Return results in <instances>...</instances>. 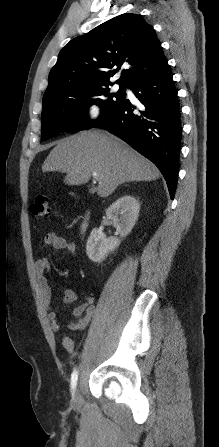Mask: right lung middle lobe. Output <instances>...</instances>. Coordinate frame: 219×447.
Wrapping results in <instances>:
<instances>
[{
    "label": "right lung middle lobe",
    "instance_id": "obj_1",
    "mask_svg": "<svg viewBox=\"0 0 219 447\" xmlns=\"http://www.w3.org/2000/svg\"><path fill=\"white\" fill-rule=\"evenodd\" d=\"M96 87L86 94L51 95L43 97L42 137L51 138L61 132H77L90 129L93 124L87 118V108L96 104L101 108V116L126 100L124 88L110 93L109 86Z\"/></svg>",
    "mask_w": 219,
    "mask_h": 447
}]
</instances>
